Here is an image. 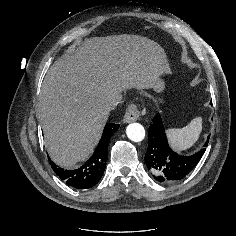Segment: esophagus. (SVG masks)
<instances>
[{
	"instance_id": "esophagus-1",
	"label": "esophagus",
	"mask_w": 236,
	"mask_h": 236,
	"mask_svg": "<svg viewBox=\"0 0 236 236\" xmlns=\"http://www.w3.org/2000/svg\"><path fill=\"white\" fill-rule=\"evenodd\" d=\"M140 116V112L135 104H130L125 112V115L123 117L124 123H130L138 120Z\"/></svg>"
}]
</instances>
